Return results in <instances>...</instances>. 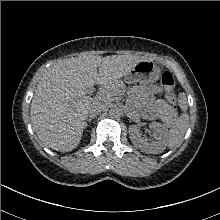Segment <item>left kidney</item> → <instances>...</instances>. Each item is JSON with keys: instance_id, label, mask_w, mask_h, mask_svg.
I'll return each instance as SVG.
<instances>
[{"instance_id": "1", "label": "left kidney", "mask_w": 220, "mask_h": 220, "mask_svg": "<svg viewBox=\"0 0 220 220\" xmlns=\"http://www.w3.org/2000/svg\"><path fill=\"white\" fill-rule=\"evenodd\" d=\"M150 128L154 131L155 138V141L151 143L141 137L140 128L136 125H131L128 132L132 143L140 150L150 154H159L165 149L168 130L159 122H152Z\"/></svg>"}]
</instances>
